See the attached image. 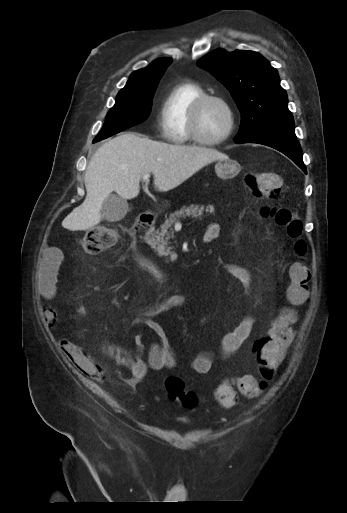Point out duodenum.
I'll use <instances>...</instances> for the list:
<instances>
[{"mask_svg":"<svg viewBox=\"0 0 347 513\" xmlns=\"http://www.w3.org/2000/svg\"><path fill=\"white\" fill-rule=\"evenodd\" d=\"M156 217V211L149 210L140 214L135 222L133 223L130 233L132 236V242L130 245V251L133 254H139V248L142 245H146L150 240L149 228L154 222ZM215 238L214 235H206L205 241L209 242Z\"/></svg>","mask_w":347,"mask_h":513,"instance_id":"1","label":"duodenum"}]
</instances>
